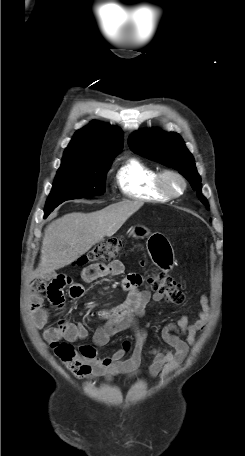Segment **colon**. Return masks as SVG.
<instances>
[{
	"mask_svg": "<svg viewBox=\"0 0 245 456\" xmlns=\"http://www.w3.org/2000/svg\"><path fill=\"white\" fill-rule=\"evenodd\" d=\"M124 246L122 237H113L99 244L87 254L81 256L76 264L79 266L87 264H105L113 261L121 252ZM147 284L155 292L165 295L167 301L173 304H180L185 296L180 285L173 278L163 272L151 270L147 274ZM51 347L56 356L63 362L67 369L76 375L85 374L89 367L83 360V352L77 350L67 342H53ZM87 352V350H86Z\"/></svg>",
	"mask_w": 245,
	"mask_h": 456,
	"instance_id": "1",
	"label": "colon"
}]
</instances>
